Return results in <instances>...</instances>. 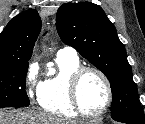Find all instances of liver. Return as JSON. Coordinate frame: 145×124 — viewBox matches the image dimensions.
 Instances as JSON below:
<instances>
[{"label":"liver","mask_w":145,"mask_h":124,"mask_svg":"<svg viewBox=\"0 0 145 124\" xmlns=\"http://www.w3.org/2000/svg\"><path fill=\"white\" fill-rule=\"evenodd\" d=\"M0 124H78V122L30 111L0 110Z\"/></svg>","instance_id":"6515ba94"}]
</instances>
